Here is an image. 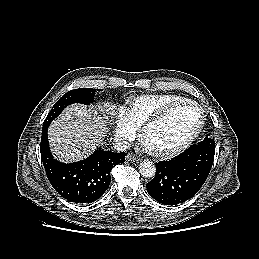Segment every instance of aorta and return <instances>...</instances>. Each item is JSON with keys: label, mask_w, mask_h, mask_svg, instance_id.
Returning <instances> with one entry per match:
<instances>
[{"label": "aorta", "mask_w": 259, "mask_h": 259, "mask_svg": "<svg viewBox=\"0 0 259 259\" xmlns=\"http://www.w3.org/2000/svg\"><path fill=\"white\" fill-rule=\"evenodd\" d=\"M139 173L146 178H151L156 173V166L150 160H144L139 164Z\"/></svg>", "instance_id": "obj_1"}]
</instances>
